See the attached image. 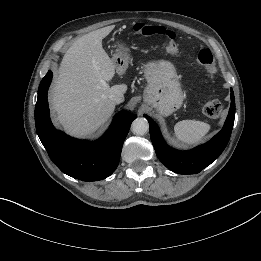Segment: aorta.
<instances>
[{"mask_svg": "<svg viewBox=\"0 0 261 261\" xmlns=\"http://www.w3.org/2000/svg\"><path fill=\"white\" fill-rule=\"evenodd\" d=\"M132 131L137 135H144L149 130L148 121L145 118H137L132 123Z\"/></svg>", "mask_w": 261, "mask_h": 261, "instance_id": "762f6f07", "label": "aorta"}]
</instances>
